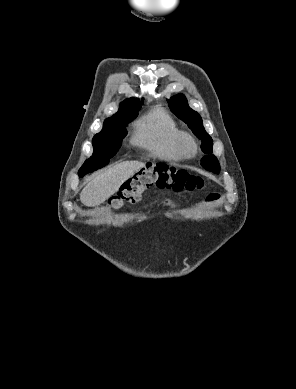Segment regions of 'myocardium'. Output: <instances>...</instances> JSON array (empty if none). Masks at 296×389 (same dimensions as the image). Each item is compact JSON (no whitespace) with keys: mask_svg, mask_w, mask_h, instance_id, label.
I'll list each match as a JSON object with an SVG mask.
<instances>
[{"mask_svg":"<svg viewBox=\"0 0 296 389\" xmlns=\"http://www.w3.org/2000/svg\"><path fill=\"white\" fill-rule=\"evenodd\" d=\"M177 150L182 158H194L198 152V143L189 133L181 132L177 140Z\"/></svg>","mask_w":296,"mask_h":389,"instance_id":"myocardium-1","label":"myocardium"}]
</instances>
